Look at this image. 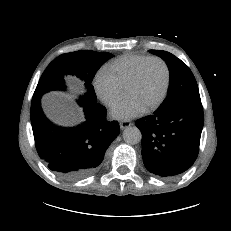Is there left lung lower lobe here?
<instances>
[{"label": "left lung lower lobe", "mask_w": 231, "mask_h": 231, "mask_svg": "<svg viewBox=\"0 0 231 231\" xmlns=\"http://www.w3.org/2000/svg\"><path fill=\"white\" fill-rule=\"evenodd\" d=\"M203 123L201 100H187L137 120L146 169L159 177L172 178L190 168L198 156Z\"/></svg>", "instance_id": "obj_1"}]
</instances>
